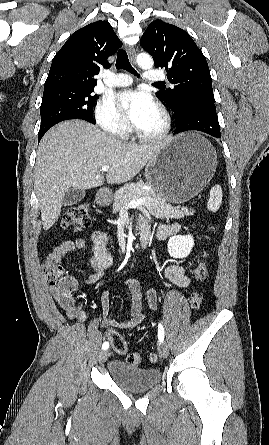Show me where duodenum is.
<instances>
[{
	"label": "duodenum",
	"mask_w": 269,
	"mask_h": 445,
	"mask_svg": "<svg viewBox=\"0 0 269 445\" xmlns=\"http://www.w3.org/2000/svg\"><path fill=\"white\" fill-rule=\"evenodd\" d=\"M101 195H103V193H101ZM149 240H150L149 233H140V243L138 245L137 251L145 250L149 243Z\"/></svg>",
	"instance_id": "obj_1"
}]
</instances>
